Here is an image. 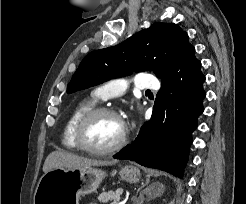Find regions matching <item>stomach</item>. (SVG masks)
Segmentation results:
<instances>
[{"instance_id": "0dacf381", "label": "stomach", "mask_w": 246, "mask_h": 204, "mask_svg": "<svg viewBox=\"0 0 246 204\" xmlns=\"http://www.w3.org/2000/svg\"><path fill=\"white\" fill-rule=\"evenodd\" d=\"M105 176V171L94 167L52 169L40 178L33 202L34 204H78L81 196L97 190ZM119 176L129 183H137L142 173L138 167L125 165L120 169Z\"/></svg>"}]
</instances>
